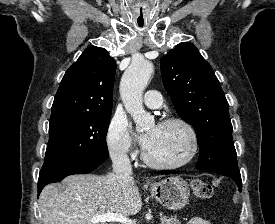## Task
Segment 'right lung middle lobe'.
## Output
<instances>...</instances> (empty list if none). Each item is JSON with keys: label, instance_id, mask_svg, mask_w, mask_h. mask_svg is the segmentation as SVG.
Instances as JSON below:
<instances>
[{"label": "right lung middle lobe", "instance_id": "dd1d6c3e", "mask_svg": "<svg viewBox=\"0 0 275 224\" xmlns=\"http://www.w3.org/2000/svg\"><path fill=\"white\" fill-rule=\"evenodd\" d=\"M110 116L111 112L51 116L44 165L108 152Z\"/></svg>", "mask_w": 275, "mask_h": 224}]
</instances>
